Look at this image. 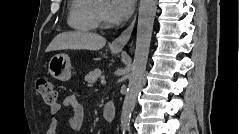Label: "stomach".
I'll return each instance as SVG.
<instances>
[{
	"mask_svg": "<svg viewBox=\"0 0 239 134\" xmlns=\"http://www.w3.org/2000/svg\"><path fill=\"white\" fill-rule=\"evenodd\" d=\"M121 49H111L113 53L120 52ZM49 73L56 79L67 81L71 77V62L66 54L54 55L48 64Z\"/></svg>",
	"mask_w": 239,
	"mask_h": 134,
	"instance_id": "obj_1",
	"label": "stomach"
}]
</instances>
